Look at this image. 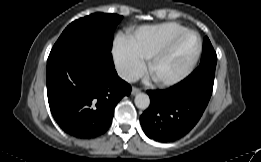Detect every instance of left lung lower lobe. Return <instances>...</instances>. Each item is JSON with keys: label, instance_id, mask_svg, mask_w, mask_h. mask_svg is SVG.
Returning <instances> with one entry per match:
<instances>
[{"label": "left lung lower lobe", "instance_id": "1", "mask_svg": "<svg viewBox=\"0 0 261 162\" xmlns=\"http://www.w3.org/2000/svg\"><path fill=\"white\" fill-rule=\"evenodd\" d=\"M215 63H205L185 80L165 89L147 91L151 103L140 117L143 131L158 142H172L189 133L210 100Z\"/></svg>", "mask_w": 261, "mask_h": 162}]
</instances>
